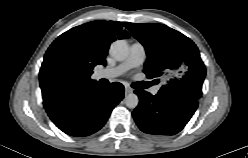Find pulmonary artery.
Instances as JSON below:
<instances>
[{"instance_id":"e3ab8cb5","label":"pulmonary artery","mask_w":248,"mask_h":158,"mask_svg":"<svg viewBox=\"0 0 248 158\" xmlns=\"http://www.w3.org/2000/svg\"><path fill=\"white\" fill-rule=\"evenodd\" d=\"M146 58V51L140 42H135L130 46L128 57L120 64L110 68L98 70L95 73L96 79H109L112 80L121 76L133 68L141 66ZM157 89L153 90L156 93Z\"/></svg>"}]
</instances>
